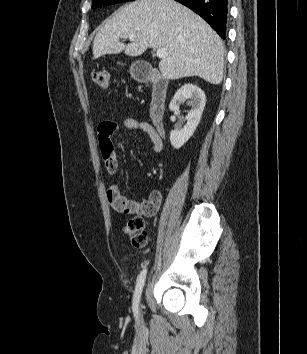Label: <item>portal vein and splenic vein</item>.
Segmentation results:
<instances>
[{"mask_svg": "<svg viewBox=\"0 0 307 354\" xmlns=\"http://www.w3.org/2000/svg\"><path fill=\"white\" fill-rule=\"evenodd\" d=\"M129 39H130V41H132V42L135 41V38H134V37H130ZM167 55H168V52H167V49H166V48H159V49H157V51H156V56H157L158 58H160V59L165 58Z\"/></svg>", "mask_w": 307, "mask_h": 354, "instance_id": "obj_1", "label": "portal vein and splenic vein"}]
</instances>
